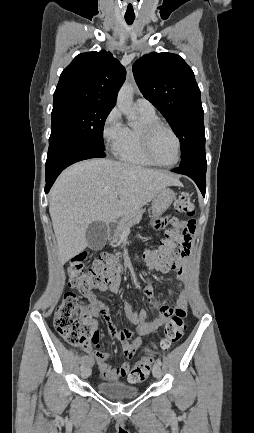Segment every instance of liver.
Wrapping results in <instances>:
<instances>
[{"label": "liver", "instance_id": "liver-1", "mask_svg": "<svg viewBox=\"0 0 254 433\" xmlns=\"http://www.w3.org/2000/svg\"><path fill=\"white\" fill-rule=\"evenodd\" d=\"M178 178L163 170L90 159L66 169L50 192L49 212L64 265L87 246L86 229L94 221L114 222L140 209ZM125 194L119 196V192Z\"/></svg>", "mask_w": 254, "mask_h": 433}]
</instances>
